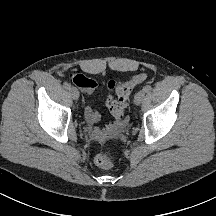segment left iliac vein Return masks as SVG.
<instances>
[{"label": "left iliac vein", "instance_id": "left-iliac-vein-1", "mask_svg": "<svg viewBox=\"0 0 216 216\" xmlns=\"http://www.w3.org/2000/svg\"><path fill=\"white\" fill-rule=\"evenodd\" d=\"M144 96H145V92L143 90H140L139 92H137L134 98L135 104L140 105L143 101Z\"/></svg>", "mask_w": 216, "mask_h": 216}]
</instances>
